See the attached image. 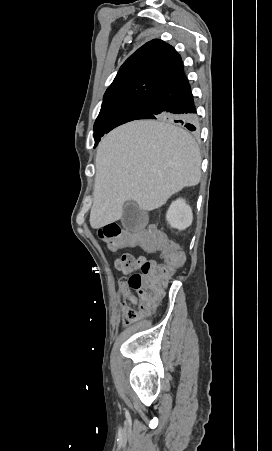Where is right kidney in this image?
<instances>
[{
	"mask_svg": "<svg viewBox=\"0 0 272 451\" xmlns=\"http://www.w3.org/2000/svg\"><path fill=\"white\" fill-rule=\"evenodd\" d=\"M166 220L171 227H177V229H186L191 226L193 220V214L190 206L185 204V200H176L172 202L167 214Z\"/></svg>",
	"mask_w": 272,
	"mask_h": 451,
	"instance_id": "obj_1",
	"label": "right kidney"
}]
</instances>
